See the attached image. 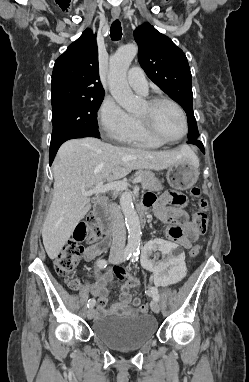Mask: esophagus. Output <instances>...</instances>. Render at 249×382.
Masks as SVG:
<instances>
[{
	"label": "esophagus",
	"mask_w": 249,
	"mask_h": 382,
	"mask_svg": "<svg viewBox=\"0 0 249 382\" xmlns=\"http://www.w3.org/2000/svg\"><path fill=\"white\" fill-rule=\"evenodd\" d=\"M111 13H112V17L114 19H117L119 17V15H120V8L119 7H114L112 9Z\"/></svg>",
	"instance_id": "obj_1"
}]
</instances>
